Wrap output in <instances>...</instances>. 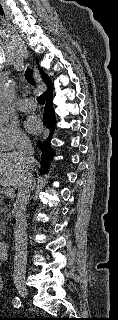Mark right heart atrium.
Masks as SVG:
<instances>
[{
  "instance_id": "obj_1",
  "label": "right heart atrium",
  "mask_w": 118,
  "mask_h": 320,
  "mask_svg": "<svg viewBox=\"0 0 118 320\" xmlns=\"http://www.w3.org/2000/svg\"><path fill=\"white\" fill-rule=\"evenodd\" d=\"M29 139L14 123H0V152L26 145Z\"/></svg>"
}]
</instances>
